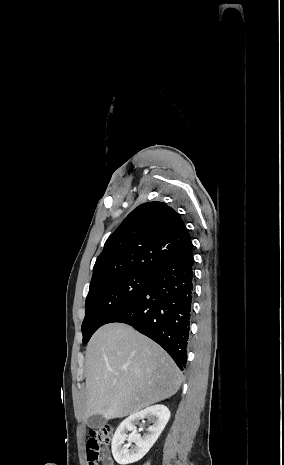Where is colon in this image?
Instances as JSON below:
<instances>
[{
	"instance_id": "5ec220e1",
	"label": "colon",
	"mask_w": 284,
	"mask_h": 465,
	"mask_svg": "<svg viewBox=\"0 0 284 465\" xmlns=\"http://www.w3.org/2000/svg\"><path fill=\"white\" fill-rule=\"evenodd\" d=\"M112 429L110 427H91L89 434L85 439V447L88 450L86 456L89 465H96L98 461V451L109 442L112 438ZM90 451H95L92 453Z\"/></svg>"
}]
</instances>
